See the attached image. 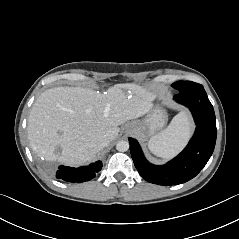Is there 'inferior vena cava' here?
<instances>
[{"mask_svg":"<svg viewBox=\"0 0 239 239\" xmlns=\"http://www.w3.org/2000/svg\"><path fill=\"white\" fill-rule=\"evenodd\" d=\"M109 143L110 141L107 138L101 139L99 142V149H103L104 147L108 146Z\"/></svg>","mask_w":239,"mask_h":239,"instance_id":"602c4592","label":"inferior vena cava"}]
</instances>
